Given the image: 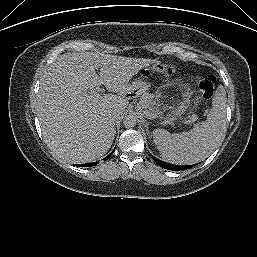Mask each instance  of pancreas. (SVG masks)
Wrapping results in <instances>:
<instances>
[{
  "instance_id": "obj_1",
  "label": "pancreas",
  "mask_w": 257,
  "mask_h": 257,
  "mask_svg": "<svg viewBox=\"0 0 257 257\" xmlns=\"http://www.w3.org/2000/svg\"><path fill=\"white\" fill-rule=\"evenodd\" d=\"M139 104L140 106L143 108V109H148L151 111V113L158 117L159 115L162 114L163 111L160 110L159 108V103L156 102L155 100V95L154 94H151V93H148V92H144L142 95H141V99L139 101ZM174 115H172V117L170 118L171 121L175 120L176 119V114H177V111H174L173 112ZM197 120V115L196 114H192V112H190V115H188L185 119H184V122L185 123H192V122H195Z\"/></svg>"
}]
</instances>
